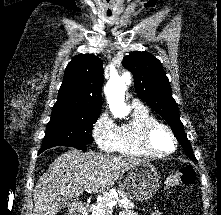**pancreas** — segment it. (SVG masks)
Returning <instances> with one entry per match:
<instances>
[{
  "label": "pancreas",
  "mask_w": 221,
  "mask_h": 215,
  "mask_svg": "<svg viewBox=\"0 0 221 215\" xmlns=\"http://www.w3.org/2000/svg\"><path fill=\"white\" fill-rule=\"evenodd\" d=\"M117 193L123 198V200H119L116 198V194L113 192H107L105 193L101 200L93 207L92 209V215H108V212L110 211V207L106 206V203L112 201V200H118V204L120 207L125 209H132L135 207L134 203L131 202L123 192L120 190L117 191Z\"/></svg>",
  "instance_id": "pancreas-1"
}]
</instances>
